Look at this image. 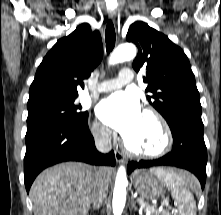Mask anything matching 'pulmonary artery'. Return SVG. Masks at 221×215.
Wrapping results in <instances>:
<instances>
[{"label": "pulmonary artery", "instance_id": "pulmonary-artery-1", "mask_svg": "<svg viewBox=\"0 0 221 215\" xmlns=\"http://www.w3.org/2000/svg\"><path fill=\"white\" fill-rule=\"evenodd\" d=\"M134 79L133 72L130 69H122L118 77L105 80L98 86V92H110L117 90L125 84L131 83Z\"/></svg>", "mask_w": 221, "mask_h": 215}]
</instances>
